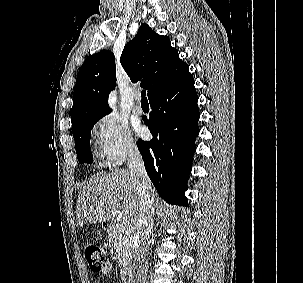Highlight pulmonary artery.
I'll list each match as a JSON object with an SVG mask.
<instances>
[{"label": "pulmonary artery", "instance_id": "obj_1", "mask_svg": "<svg viewBox=\"0 0 303 283\" xmlns=\"http://www.w3.org/2000/svg\"><path fill=\"white\" fill-rule=\"evenodd\" d=\"M135 102L132 107V111L136 115H141L143 113V108L140 104V94L137 92L134 95Z\"/></svg>", "mask_w": 303, "mask_h": 283}]
</instances>
